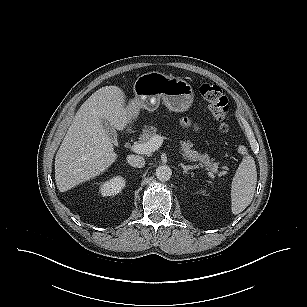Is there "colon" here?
Listing matches in <instances>:
<instances>
[{
  "mask_svg": "<svg viewBox=\"0 0 307 307\" xmlns=\"http://www.w3.org/2000/svg\"><path fill=\"white\" fill-rule=\"evenodd\" d=\"M199 92L202 98L207 102L208 107L219 123L221 132L229 131L228 115L230 112L228 99L221 88L215 84L203 82L199 86Z\"/></svg>",
  "mask_w": 307,
  "mask_h": 307,
  "instance_id": "colon-1",
  "label": "colon"
}]
</instances>
